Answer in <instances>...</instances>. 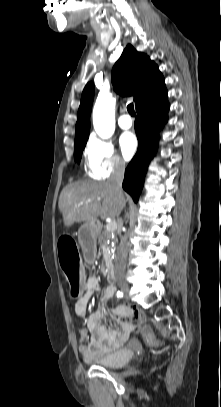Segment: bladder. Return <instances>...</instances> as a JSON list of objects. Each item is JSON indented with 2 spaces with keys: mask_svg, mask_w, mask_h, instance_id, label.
Wrapping results in <instances>:
<instances>
[{
  "mask_svg": "<svg viewBox=\"0 0 221 407\" xmlns=\"http://www.w3.org/2000/svg\"><path fill=\"white\" fill-rule=\"evenodd\" d=\"M136 349L133 346L120 347L102 356L88 359V362L109 369H117L127 365L134 357Z\"/></svg>",
  "mask_w": 221,
  "mask_h": 407,
  "instance_id": "1",
  "label": "bladder"
}]
</instances>
